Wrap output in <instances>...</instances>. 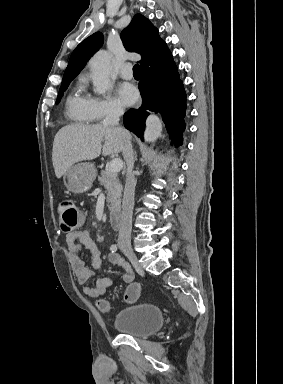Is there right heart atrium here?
<instances>
[{
    "mask_svg": "<svg viewBox=\"0 0 283 384\" xmlns=\"http://www.w3.org/2000/svg\"><path fill=\"white\" fill-rule=\"evenodd\" d=\"M91 103L94 123H103L106 120L118 117L123 112L121 102L113 97L91 96Z\"/></svg>",
    "mask_w": 283,
    "mask_h": 384,
    "instance_id": "obj_1",
    "label": "right heart atrium"
}]
</instances>
